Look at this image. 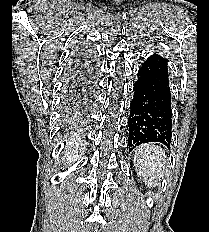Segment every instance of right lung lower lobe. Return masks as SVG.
Returning <instances> with one entry per match:
<instances>
[{
	"mask_svg": "<svg viewBox=\"0 0 209 232\" xmlns=\"http://www.w3.org/2000/svg\"><path fill=\"white\" fill-rule=\"evenodd\" d=\"M92 53L89 51H79V53H77L76 57H75V64L79 67L81 66H85V69H91L92 62Z\"/></svg>",
	"mask_w": 209,
	"mask_h": 232,
	"instance_id": "1",
	"label": "right lung lower lobe"
}]
</instances>
